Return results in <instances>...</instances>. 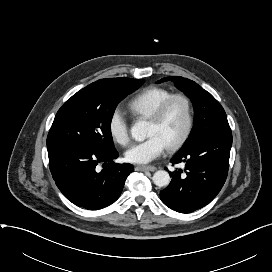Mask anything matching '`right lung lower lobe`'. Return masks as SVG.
Returning a JSON list of instances; mask_svg holds the SVG:
<instances>
[{"mask_svg":"<svg viewBox=\"0 0 272 272\" xmlns=\"http://www.w3.org/2000/svg\"><path fill=\"white\" fill-rule=\"evenodd\" d=\"M116 149L71 148L49 156L53 179L62 194L72 203L86 209H101L120 196L125 180L134 170L130 164H117ZM103 163L101 172L96 166Z\"/></svg>","mask_w":272,"mask_h":272,"instance_id":"1","label":"right lung lower lobe"}]
</instances>
